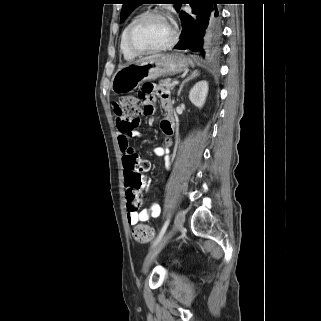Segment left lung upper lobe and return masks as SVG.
I'll return each mask as SVG.
<instances>
[{
	"label": "left lung upper lobe",
	"instance_id": "5c2ea615",
	"mask_svg": "<svg viewBox=\"0 0 321 321\" xmlns=\"http://www.w3.org/2000/svg\"><path fill=\"white\" fill-rule=\"evenodd\" d=\"M148 0H123V7L120 14L121 21H125V19L130 15V13L140 4L146 3ZM175 4V8L179 11L180 6L183 0H172Z\"/></svg>",
	"mask_w": 321,
	"mask_h": 321
}]
</instances>
